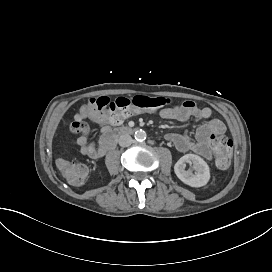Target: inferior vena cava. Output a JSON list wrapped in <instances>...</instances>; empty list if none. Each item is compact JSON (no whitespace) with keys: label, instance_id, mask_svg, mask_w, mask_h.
<instances>
[{"label":"inferior vena cava","instance_id":"602c4592","mask_svg":"<svg viewBox=\"0 0 272 272\" xmlns=\"http://www.w3.org/2000/svg\"><path fill=\"white\" fill-rule=\"evenodd\" d=\"M118 142L121 147H128L132 144V137L129 134H123L119 137Z\"/></svg>","mask_w":272,"mask_h":272}]
</instances>
